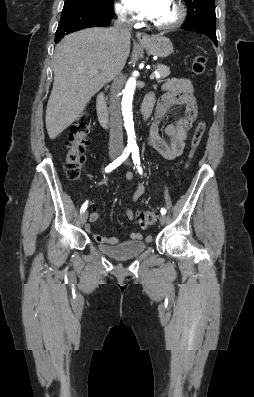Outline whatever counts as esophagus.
Segmentation results:
<instances>
[{
    "mask_svg": "<svg viewBox=\"0 0 254 397\" xmlns=\"http://www.w3.org/2000/svg\"><path fill=\"white\" fill-rule=\"evenodd\" d=\"M136 37L140 43H146L150 41L149 35L144 32H137Z\"/></svg>",
    "mask_w": 254,
    "mask_h": 397,
    "instance_id": "obj_1",
    "label": "esophagus"
}]
</instances>
